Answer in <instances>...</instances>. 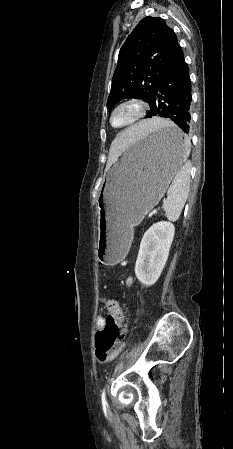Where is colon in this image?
<instances>
[{
	"instance_id": "5ec220e1",
	"label": "colon",
	"mask_w": 233,
	"mask_h": 449,
	"mask_svg": "<svg viewBox=\"0 0 233 449\" xmlns=\"http://www.w3.org/2000/svg\"><path fill=\"white\" fill-rule=\"evenodd\" d=\"M108 315L105 319V330L97 333L95 337L96 353L107 354L119 347L130 332V320L122 319L119 304L112 298L104 299Z\"/></svg>"
}]
</instances>
